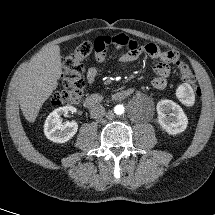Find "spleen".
Listing matches in <instances>:
<instances>
[{"label": "spleen", "instance_id": "spleen-1", "mask_svg": "<svg viewBox=\"0 0 215 215\" xmlns=\"http://www.w3.org/2000/svg\"><path fill=\"white\" fill-rule=\"evenodd\" d=\"M180 90L182 91V92H184V91H186V87L185 86H182L181 88H180ZM191 101H189V103H190Z\"/></svg>", "mask_w": 215, "mask_h": 215}]
</instances>
